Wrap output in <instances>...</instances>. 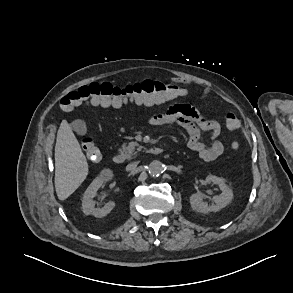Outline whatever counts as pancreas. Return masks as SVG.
Instances as JSON below:
<instances>
[{"mask_svg":"<svg viewBox=\"0 0 293 293\" xmlns=\"http://www.w3.org/2000/svg\"><path fill=\"white\" fill-rule=\"evenodd\" d=\"M142 146L137 142H130L122 145V153L127 159H130L133 154H136L135 150L141 151Z\"/></svg>","mask_w":293,"mask_h":293,"instance_id":"pancreas-1","label":"pancreas"}]
</instances>
